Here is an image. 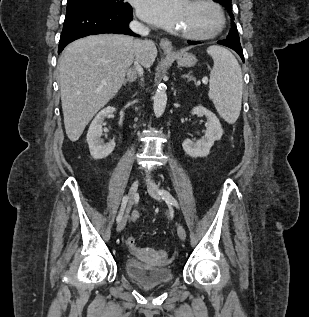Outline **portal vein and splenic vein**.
Instances as JSON below:
<instances>
[{
    "mask_svg": "<svg viewBox=\"0 0 309 317\" xmlns=\"http://www.w3.org/2000/svg\"><path fill=\"white\" fill-rule=\"evenodd\" d=\"M202 82H203L204 84H207L208 80H207L206 78H204V79H202Z\"/></svg>",
    "mask_w": 309,
    "mask_h": 317,
    "instance_id": "portal-vein-and-splenic-vein-1",
    "label": "portal vein and splenic vein"
}]
</instances>
